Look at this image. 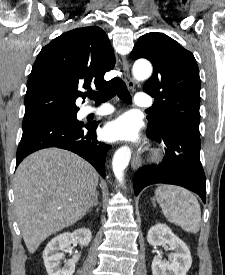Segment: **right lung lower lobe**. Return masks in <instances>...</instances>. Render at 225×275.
Instances as JSON below:
<instances>
[{"label": "right lung lower lobe", "instance_id": "right-lung-lower-lobe-1", "mask_svg": "<svg viewBox=\"0 0 225 275\" xmlns=\"http://www.w3.org/2000/svg\"><path fill=\"white\" fill-rule=\"evenodd\" d=\"M96 127V123H76L46 113L24 117L16 167L32 152L58 147L83 157L102 177H105L104 163L111 145L97 141Z\"/></svg>", "mask_w": 225, "mask_h": 275}]
</instances>
